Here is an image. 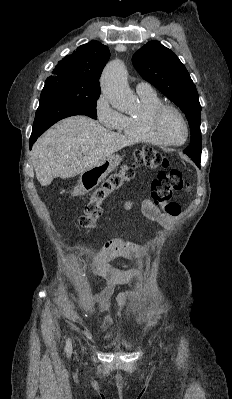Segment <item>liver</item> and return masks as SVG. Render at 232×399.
<instances>
[{
	"label": "liver",
	"instance_id": "liver-1",
	"mask_svg": "<svg viewBox=\"0 0 232 399\" xmlns=\"http://www.w3.org/2000/svg\"><path fill=\"white\" fill-rule=\"evenodd\" d=\"M131 144L130 138L106 130L91 118L73 116L61 120L37 140L32 164L39 184L49 186L56 176L74 178ZM84 146L89 150L81 154Z\"/></svg>",
	"mask_w": 232,
	"mask_h": 399
}]
</instances>
